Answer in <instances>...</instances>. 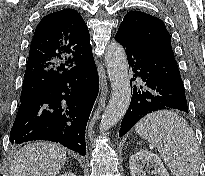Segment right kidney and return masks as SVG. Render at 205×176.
<instances>
[{
    "label": "right kidney",
    "instance_id": "1",
    "mask_svg": "<svg viewBox=\"0 0 205 176\" xmlns=\"http://www.w3.org/2000/svg\"><path fill=\"white\" fill-rule=\"evenodd\" d=\"M60 176H76V175L74 173H72V172H66V173H64V174H62Z\"/></svg>",
    "mask_w": 205,
    "mask_h": 176
}]
</instances>
